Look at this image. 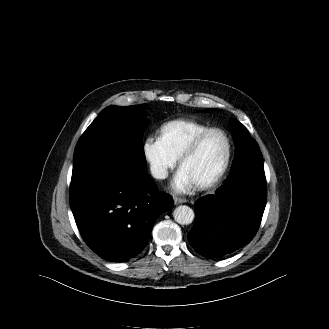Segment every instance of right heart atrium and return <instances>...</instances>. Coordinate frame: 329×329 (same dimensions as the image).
I'll return each instance as SVG.
<instances>
[{"mask_svg": "<svg viewBox=\"0 0 329 329\" xmlns=\"http://www.w3.org/2000/svg\"><path fill=\"white\" fill-rule=\"evenodd\" d=\"M143 153L152 175L159 180L165 179L177 163V159L160 138H146L143 143Z\"/></svg>", "mask_w": 329, "mask_h": 329, "instance_id": "right-heart-atrium-1", "label": "right heart atrium"}]
</instances>
